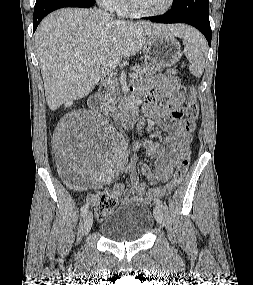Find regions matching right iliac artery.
<instances>
[{
  "label": "right iliac artery",
  "mask_w": 253,
  "mask_h": 285,
  "mask_svg": "<svg viewBox=\"0 0 253 285\" xmlns=\"http://www.w3.org/2000/svg\"><path fill=\"white\" fill-rule=\"evenodd\" d=\"M88 208H89V204L86 203L85 205H83V207L81 208V215L82 216H85L87 211H88Z\"/></svg>",
  "instance_id": "obj_1"
}]
</instances>
